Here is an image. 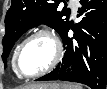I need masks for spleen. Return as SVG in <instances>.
Listing matches in <instances>:
<instances>
[{"mask_svg":"<svg viewBox=\"0 0 107 89\" xmlns=\"http://www.w3.org/2000/svg\"><path fill=\"white\" fill-rule=\"evenodd\" d=\"M65 89H82L81 85L78 84H65Z\"/></svg>","mask_w":107,"mask_h":89,"instance_id":"3e777b00","label":"spleen"}]
</instances>
